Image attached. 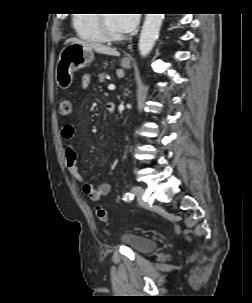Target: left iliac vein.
<instances>
[{
	"instance_id": "obj_1",
	"label": "left iliac vein",
	"mask_w": 252,
	"mask_h": 303,
	"mask_svg": "<svg viewBox=\"0 0 252 303\" xmlns=\"http://www.w3.org/2000/svg\"><path fill=\"white\" fill-rule=\"evenodd\" d=\"M132 192H133L134 195L137 196L138 201L141 204H144V201L142 200V195L144 193V189L140 186H135V187H133Z\"/></svg>"
}]
</instances>
